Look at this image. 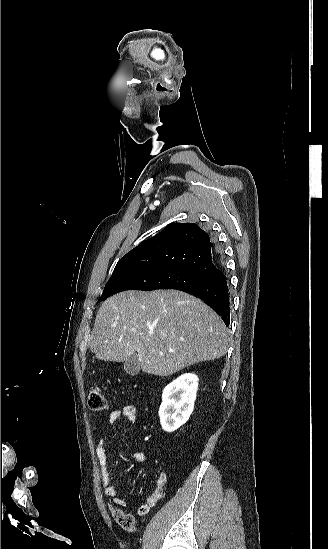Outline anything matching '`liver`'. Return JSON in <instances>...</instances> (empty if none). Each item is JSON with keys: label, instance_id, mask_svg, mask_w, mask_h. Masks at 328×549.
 Segmentation results:
<instances>
[{"label": "liver", "instance_id": "liver-1", "mask_svg": "<svg viewBox=\"0 0 328 549\" xmlns=\"http://www.w3.org/2000/svg\"><path fill=\"white\" fill-rule=\"evenodd\" d=\"M222 319L182 291H124L106 299L90 345L96 359L124 363L136 353L144 373L168 377L199 361L226 355Z\"/></svg>", "mask_w": 328, "mask_h": 549}]
</instances>
